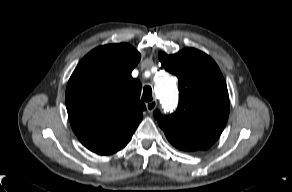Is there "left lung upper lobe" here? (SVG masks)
<instances>
[{"instance_id":"obj_1","label":"left lung upper lobe","mask_w":292,"mask_h":192,"mask_svg":"<svg viewBox=\"0 0 292 192\" xmlns=\"http://www.w3.org/2000/svg\"><path fill=\"white\" fill-rule=\"evenodd\" d=\"M159 60L179 79V105L169 116L154 112L159 126L174 146L208 149L222 133L229 116V96L217 64L205 53L185 48Z\"/></svg>"}]
</instances>
